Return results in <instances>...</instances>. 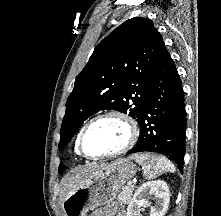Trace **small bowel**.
I'll return each instance as SVG.
<instances>
[{
  "instance_id": "1",
  "label": "small bowel",
  "mask_w": 221,
  "mask_h": 216,
  "mask_svg": "<svg viewBox=\"0 0 221 216\" xmlns=\"http://www.w3.org/2000/svg\"><path fill=\"white\" fill-rule=\"evenodd\" d=\"M114 216H123L121 213H116Z\"/></svg>"
}]
</instances>
